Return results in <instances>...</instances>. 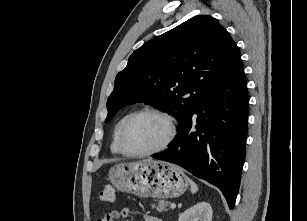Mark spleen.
<instances>
[{
	"mask_svg": "<svg viewBox=\"0 0 307 221\" xmlns=\"http://www.w3.org/2000/svg\"><path fill=\"white\" fill-rule=\"evenodd\" d=\"M190 185H191V192L194 194L198 191V186L196 185L195 182H193L192 180H189Z\"/></svg>",
	"mask_w": 307,
	"mask_h": 221,
	"instance_id": "1",
	"label": "spleen"
}]
</instances>
